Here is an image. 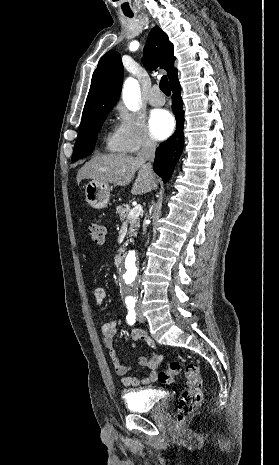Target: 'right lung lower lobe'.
<instances>
[{
    "label": "right lung lower lobe",
    "mask_w": 279,
    "mask_h": 465,
    "mask_svg": "<svg viewBox=\"0 0 279 465\" xmlns=\"http://www.w3.org/2000/svg\"><path fill=\"white\" fill-rule=\"evenodd\" d=\"M173 92L172 109L176 115V132L168 140L159 145L156 150V158L153 165L154 171L166 183L173 172V167L180 158L183 150L184 137V111L182 108L181 87L178 80L171 85Z\"/></svg>",
    "instance_id": "1"
}]
</instances>
